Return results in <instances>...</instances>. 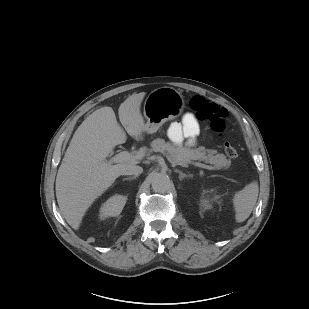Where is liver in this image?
I'll use <instances>...</instances> for the list:
<instances>
[{
    "label": "liver",
    "instance_id": "liver-1",
    "mask_svg": "<svg viewBox=\"0 0 309 309\" xmlns=\"http://www.w3.org/2000/svg\"><path fill=\"white\" fill-rule=\"evenodd\" d=\"M146 95L141 92L127 98L119 107L118 115L126 132L136 140L145 132L140 113ZM126 141V133L118 124L111 107H102L89 115L75 131L56 177V198L63 217L75 230L93 202L120 176L121 171L142 159L109 163L106 158L115 146Z\"/></svg>",
    "mask_w": 309,
    "mask_h": 309
}]
</instances>
